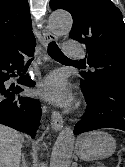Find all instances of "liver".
Listing matches in <instances>:
<instances>
[{"label":"liver","instance_id":"6515ba94","mask_svg":"<svg viewBox=\"0 0 125 167\" xmlns=\"http://www.w3.org/2000/svg\"><path fill=\"white\" fill-rule=\"evenodd\" d=\"M24 136L0 125V167H19Z\"/></svg>","mask_w":125,"mask_h":167}]
</instances>
